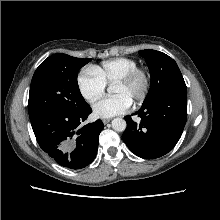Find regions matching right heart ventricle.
<instances>
[{"instance_id":"1","label":"right heart ventricle","mask_w":220,"mask_h":220,"mask_svg":"<svg viewBox=\"0 0 220 220\" xmlns=\"http://www.w3.org/2000/svg\"><path fill=\"white\" fill-rule=\"evenodd\" d=\"M138 67V63L130 58L117 57L93 66V70L105 85H112L118 79Z\"/></svg>"}]
</instances>
